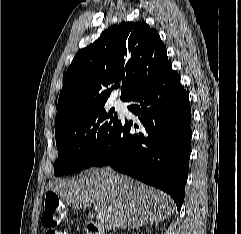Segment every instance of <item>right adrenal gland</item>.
<instances>
[{"instance_id":"obj_1","label":"right adrenal gland","mask_w":241,"mask_h":234,"mask_svg":"<svg viewBox=\"0 0 241 234\" xmlns=\"http://www.w3.org/2000/svg\"><path fill=\"white\" fill-rule=\"evenodd\" d=\"M130 229V228H132V229H134L135 227L134 226H130V225H127V226H124V227H122L121 229Z\"/></svg>"}]
</instances>
